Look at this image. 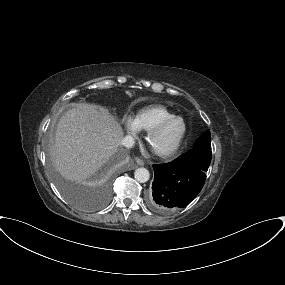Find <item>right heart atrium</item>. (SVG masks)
I'll return each instance as SVG.
<instances>
[{
    "mask_svg": "<svg viewBox=\"0 0 285 285\" xmlns=\"http://www.w3.org/2000/svg\"><path fill=\"white\" fill-rule=\"evenodd\" d=\"M124 129L128 134H130L132 136H136L138 131H139L135 125L134 120L131 118H125L124 119Z\"/></svg>",
    "mask_w": 285,
    "mask_h": 285,
    "instance_id": "1",
    "label": "right heart atrium"
}]
</instances>
